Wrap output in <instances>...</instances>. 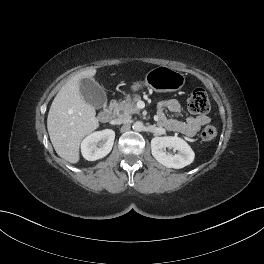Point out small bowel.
Segmentation results:
<instances>
[{
  "label": "small bowel",
  "instance_id": "obj_1",
  "mask_svg": "<svg viewBox=\"0 0 264 264\" xmlns=\"http://www.w3.org/2000/svg\"><path fill=\"white\" fill-rule=\"evenodd\" d=\"M165 110L180 114L182 109L178 101L175 99L161 100L158 103L157 120L167 130L178 132L188 137L194 136L202 126L210 122V118L207 115L191 116L184 120L168 118L165 115Z\"/></svg>",
  "mask_w": 264,
  "mask_h": 264
}]
</instances>
